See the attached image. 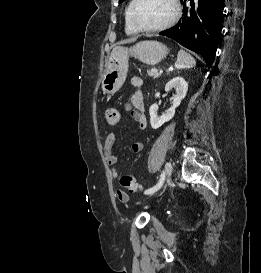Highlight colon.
Listing matches in <instances>:
<instances>
[{"label":"colon","instance_id":"colon-1","mask_svg":"<svg viewBox=\"0 0 261 273\" xmlns=\"http://www.w3.org/2000/svg\"><path fill=\"white\" fill-rule=\"evenodd\" d=\"M104 118L108 125L115 126L118 124L120 119L119 111L115 108H106L104 110ZM120 185L133 193L139 192L142 187L137 182L136 178L131 174H125L120 178Z\"/></svg>","mask_w":261,"mask_h":273}]
</instances>
